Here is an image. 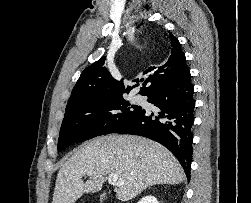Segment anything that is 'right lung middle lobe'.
<instances>
[{"label": "right lung middle lobe", "instance_id": "obj_1", "mask_svg": "<svg viewBox=\"0 0 251 203\" xmlns=\"http://www.w3.org/2000/svg\"><path fill=\"white\" fill-rule=\"evenodd\" d=\"M142 107L123 97L69 104L61 125L58 151L97 136L114 133Z\"/></svg>", "mask_w": 251, "mask_h": 203}]
</instances>
